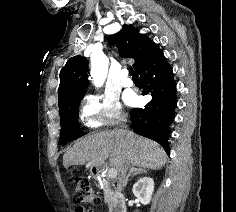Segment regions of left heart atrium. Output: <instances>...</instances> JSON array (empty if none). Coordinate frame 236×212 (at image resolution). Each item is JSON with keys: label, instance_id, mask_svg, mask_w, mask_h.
Returning <instances> with one entry per match:
<instances>
[{"label": "left heart atrium", "instance_id": "39dd6f15", "mask_svg": "<svg viewBox=\"0 0 236 212\" xmlns=\"http://www.w3.org/2000/svg\"><path fill=\"white\" fill-rule=\"evenodd\" d=\"M125 101H126V103L129 104V105H133V104H135V102H136V97H135V95H133V94L128 95V96L125 98Z\"/></svg>", "mask_w": 236, "mask_h": 212}]
</instances>
